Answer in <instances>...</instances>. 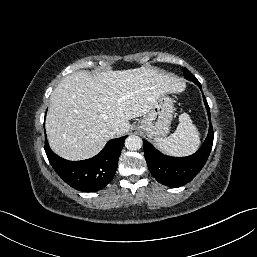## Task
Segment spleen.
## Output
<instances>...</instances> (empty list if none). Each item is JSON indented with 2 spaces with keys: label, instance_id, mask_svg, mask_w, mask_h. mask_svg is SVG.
Wrapping results in <instances>:
<instances>
[{
  "label": "spleen",
  "instance_id": "spleen-1",
  "mask_svg": "<svg viewBox=\"0 0 257 257\" xmlns=\"http://www.w3.org/2000/svg\"><path fill=\"white\" fill-rule=\"evenodd\" d=\"M199 135L190 116L187 113H183L179 116V124L175 132L167 138H156L155 142L166 154L184 156L198 149L200 144Z\"/></svg>",
  "mask_w": 257,
  "mask_h": 257
}]
</instances>
